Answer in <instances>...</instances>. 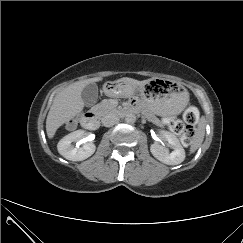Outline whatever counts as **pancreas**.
I'll return each mask as SVG.
<instances>
[{
    "label": "pancreas",
    "instance_id": "pancreas-1",
    "mask_svg": "<svg viewBox=\"0 0 243 243\" xmlns=\"http://www.w3.org/2000/svg\"><path fill=\"white\" fill-rule=\"evenodd\" d=\"M95 109L99 112L100 115H104L112 111L114 109V105L108 102H102L98 104Z\"/></svg>",
    "mask_w": 243,
    "mask_h": 243
}]
</instances>
